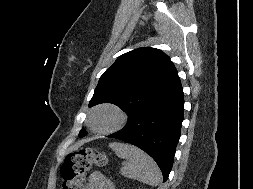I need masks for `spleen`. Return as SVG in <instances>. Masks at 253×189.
<instances>
[{"mask_svg": "<svg viewBox=\"0 0 253 189\" xmlns=\"http://www.w3.org/2000/svg\"><path fill=\"white\" fill-rule=\"evenodd\" d=\"M109 147L119 158L127 160V163L121 168L122 175L151 186H157L160 183V169L144 151L136 146L119 142H112Z\"/></svg>", "mask_w": 253, "mask_h": 189, "instance_id": "spleen-1", "label": "spleen"}]
</instances>
